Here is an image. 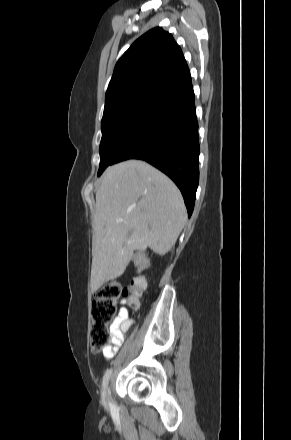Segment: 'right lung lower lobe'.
<instances>
[{"label": "right lung lower lobe", "mask_w": 291, "mask_h": 440, "mask_svg": "<svg viewBox=\"0 0 291 440\" xmlns=\"http://www.w3.org/2000/svg\"><path fill=\"white\" fill-rule=\"evenodd\" d=\"M199 136L191 76L155 97L110 165L140 159L169 176L182 192L188 216L199 182Z\"/></svg>", "instance_id": "right-lung-lower-lobe-1"}]
</instances>
